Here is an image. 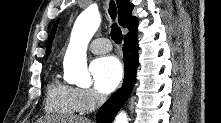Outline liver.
Listing matches in <instances>:
<instances>
[{
    "label": "liver",
    "instance_id": "1",
    "mask_svg": "<svg viewBox=\"0 0 221 123\" xmlns=\"http://www.w3.org/2000/svg\"><path fill=\"white\" fill-rule=\"evenodd\" d=\"M51 121V120H48ZM53 122H62V123H91L90 120L83 118V117H71V118H67V119H52Z\"/></svg>",
    "mask_w": 221,
    "mask_h": 123
}]
</instances>
